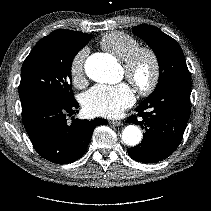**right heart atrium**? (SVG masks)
Masks as SVG:
<instances>
[{"instance_id": "1", "label": "right heart atrium", "mask_w": 211, "mask_h": 211, "mask_svg": "<svg viewBox=\"0 0 211 211\" xmlns=\"http://www.w3.org/2000/svg\"><path fill=\"white\" fill-rule=\"evenodd\" d=\"M89 49L83 47L79 49L71 58L69 71L72 83L76 87H82L86 83L85 61L88 56Z\"/></svg>"}]
</instances>
